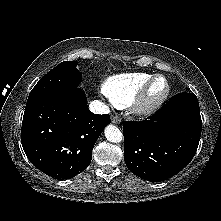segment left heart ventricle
Listing matches in <instances>:
<instances>
[{
  "instance_id": "1",
  "label": "left heart ventricle",
  "mask_w": 221,
  "mask_h": 221,
  "mask_svg": "<svg viewBox=\"0 0 221 221\" xmlns=\"http://www.w3.org/2000/svg\"><path fill=\"white\" fill-rule=\"evenodd\" d=\"M166 90V82L163 79H158L154 82L150 90V99H158Z\"/></svg>"
}]
</instances>
